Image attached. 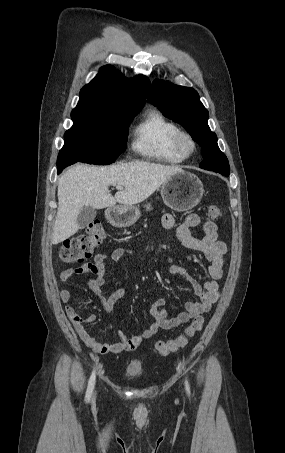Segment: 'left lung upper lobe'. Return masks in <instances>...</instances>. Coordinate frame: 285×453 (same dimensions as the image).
<instances>
[{"label": "left lung upper lobe", "instance_id": "obj_1", "mask_svg": "<svg viewBox=\"0 0 285 453\" xmlns=\"http://www.w3.org/2000/svg\"><path fill=\"white\" fill-rule=\"evenodd\" d=\"M148 101L169 119L181 124L201 147L200 168L229 176L228 159L220 151L217 136L208 126V111L200 102L196 90L155 80Z\"/></svg>", "mask_w": 285, "mask_h": 453}]
</instances>
